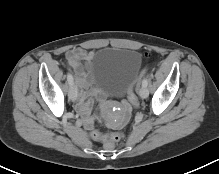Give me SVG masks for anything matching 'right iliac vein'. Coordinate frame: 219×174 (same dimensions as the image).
<instances>
[{"label": "right iliac vein", "instance_id": "63e3f726", "mask_svg": "<svg viewBox=\"0 0 219 174\" xmlns=\"http://www.w3.org/2000/svg\"><path fill=\"white\" fill-rule=\"evenodd\" d=\"M69 99L75 101L77 98V88L75 85H71L68 92Z\"/></svg>", "mask_w": 219, "mask_h": 174}]
</instances>
